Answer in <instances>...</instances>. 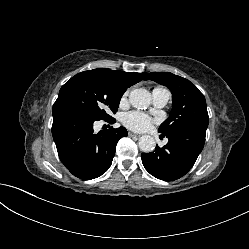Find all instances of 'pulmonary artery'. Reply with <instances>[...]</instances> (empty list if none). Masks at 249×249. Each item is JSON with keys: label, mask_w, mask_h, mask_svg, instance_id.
Segmentation results:
<instances>
[{"label": "pulmonary artery", "mask_w": 249, "mask_h": 249, "mask_svg": "<svg viewBox=\"0 0 249 249\" xmlns=\"http://www.w3.org/2000/svg\"><path fill=\"white\" fill-rule=\"evenodd\" d=\"M153 104L157 108H163L170 100V93L164 88H155L152 91Z\"/></svg>", "instance_id": "1"}]
</instances>
